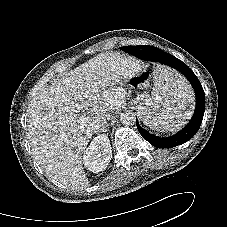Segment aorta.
Here are the masks:
<instances>
[{"instance_id":"762f6f07","label":"aorta","mask_w":227,"mask_h":227,"mask_svg":"<svg viewBox=\"0 0 227 227\" xmlns=\"http://www.w3.org/2000/svg\"><path fill=\"white\" fill-rule=\"evenodd\" d=\"M120 122L126 126L133 125L136 122V116L134 112L130 110L123 111L120 114Z\"/></svg>"}]
</instances>
